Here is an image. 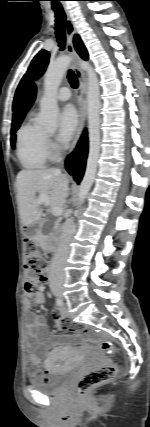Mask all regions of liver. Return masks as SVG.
<instances>
[{
  "instance_id": "6515ba94",
  "label": "liver",
  "mask_w": 150,
  "mask_h": 427,
  "mask_svg": "<svg viewBox=\"0 0 150 427\" xmlns=\"http://www.w3.org/2000/svg\"><path fill=\"white\" fill-rule=\"evenodd\" d=\"M69 179L59 169L22 170L17 175V199L24 226L37 224L42 210L36 193L46 194L49 205L62 207L68 196Z\"/></svg>"
}]
</instances>
